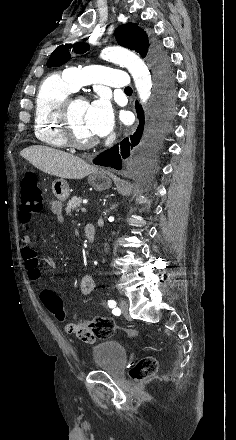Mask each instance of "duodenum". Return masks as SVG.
Masks as SVG:
<instances>
[{
  "label": "duodenum",
  "instance_id": "duodenum-1",
  "mask_svg": "<svg viewBox=\"0 0 236 440\" xmlns=\"http://www.w3.org/2000/svg\"><path fill=\"white\" fill-rule=\"evenodd\" d=\"M84 235L89 242L95 239V227L92 224H87L84 228Z\"/></svg>",
  "mask_w": 236,
  "mask_h": 440
}]
</instances>
